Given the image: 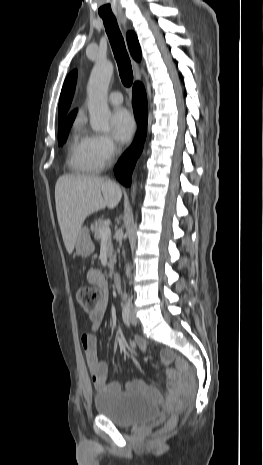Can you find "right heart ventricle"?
<instances>
[{"instance_id":"obj_1","label":"right heart ventricle","mask_w":263,"mask_h":465,"mask_svg":"<svg viewBox=\"0 0 263 465\" xmlns=\"http://www.w3.org/2000/svg\"><path fill=\"white\" fill-rule=\"evenodd\" d=\"M68 165L80 173H94L101 167L92 152V136H89L80 123H76L68 144Z\"/></svg>"}]
</instances>
